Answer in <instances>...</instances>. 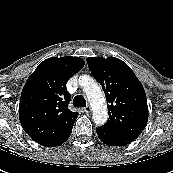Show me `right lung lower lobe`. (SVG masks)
Masks as SVG:
<instances>
[{
  "mask_svg": "<svg viewBox=\"0 0 173 173\" xmlns=\"http://www.w3.org/2000/svg\"><path fill=\"white\" fill-rule=\"evenodd\" d=\"M72 128H73V125L69 129H67L59 138L51 142L45 143L43 144V146H59L63 144L70 137Z\"/></svg>",
  "mask_w": 173,
  "mask_h": 173,
  "instance_id": "right-lung-lower-lobe-1",
  "label": "right lung lower lobe"
}]
</instances>
